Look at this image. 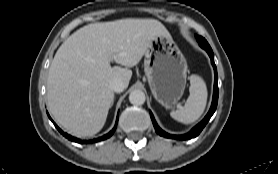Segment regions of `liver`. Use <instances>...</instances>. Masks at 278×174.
I'll list each match as a JSON object with an SVG mask.
<instances>
[{
    "label": "liver",
    "mask_w": 278,
    "mask_h": 174,
    "mask_svg": "<svg viewBox=\"0 0 278 174\" xmlns=\"http://www.w3.org/2000/svg\"><path fill=\"white\" fill-rule=\"evenodd\" d=\"M158 35L170 36L155 19L126 18L86 25L57 50L47 78V102L56 122L77 137L104 126L114 100L110 82L128 87L132 71ZM125 66H114L110 62Z\"/></svg>",
    "instance_id": "liver-1"
}]
</instances>
